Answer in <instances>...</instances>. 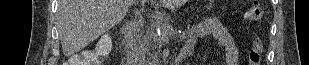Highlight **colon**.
I'll return each mask as SVG.
<instances>
[{
	"instance_id": "1",
	"label": "colon",
	"mask_w": 309,
	"mask_h": 65,
	"mask_svg": "<svg viewBox=\"0 0 309 65\" xmlns=\"http://www.w3.org/2000/svg\"><path fill=\"white\" fill-rule=\"evenodd\" d=\"M250 21H260L263 19L264 10L258 1H253L246 13ZM264 44L261 38L256 37L252 41L249 51V65H259L263 52ZM112 50V40L109 37L101 38L97 41L93 50H84L72 59V63L76 65H97L104 58L109 56Z\"/></svg>"
}]
</instances>
